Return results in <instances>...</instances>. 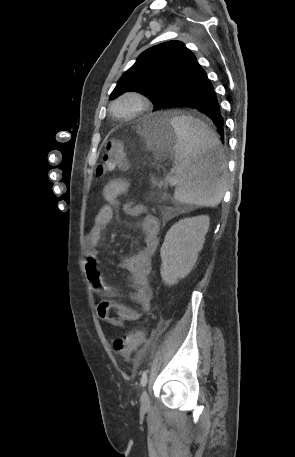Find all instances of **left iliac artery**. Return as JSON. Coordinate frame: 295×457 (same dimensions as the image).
I'll return each mask as SVG.
<instances>
[{"label": "left iliac artery", "instance_id": "obj_1", "mask_svg": "<svg viewBox=\"0 0 295 457\" xmlns=\"http://www.w3.org/2000/svg\"><path fill=\"white\" fill-rule=\"evenodd\" d=\"M147 370H144L141 376V385L144 387L147 384Z\"/></svg>", "mask_w": 295, "mask_h": 457}]
</instances>
